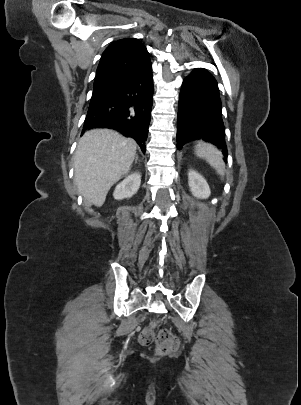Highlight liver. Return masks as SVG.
Masks as SVG:
<instances>
[{"label": "liver", "instance_id": "1", "mask_svg": "<svg viewBox=\"0 0 301 405\" xmlns=\"http://www.w3.org/2000/svg\"><path fill=\"white\" fill-rule=\"evenodd\" d=\"M136 149L133 139L113 130L86 132L74 155V180L78 192L88 202L101 207L110 188L130 171Z\"/></svg>", "mask_w": 301, "mask_h": 405}]
</instances>
